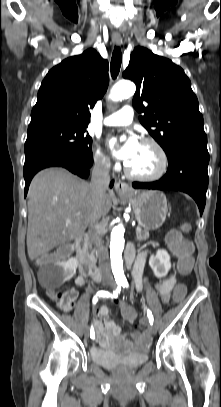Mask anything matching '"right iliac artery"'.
<instances>
[{
	"label": "right iliac artery",
	"instance_id": "obj_1",
	"mask_svg": "<svg viewBox=\"0 0 221 407\" xmlns=\"http://www.w3.org/2000/svg\"><path fill=\"white\" fill-rule=\"evenodd\" d=\"M121 286H122L121 282H118L116 290L113 291L112 293L105 292V291H99L93 298V304L97 303L100 296L117 297L121 291ZM90 337H91V339H95V332H94L93 326H91V329H90Z\"/></svg>",
	"mask_w": 221,
	"mask_h": 407
}]
</instances>
